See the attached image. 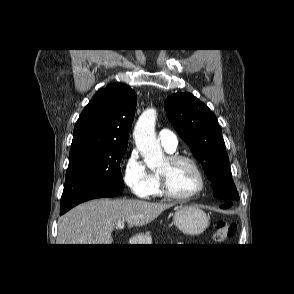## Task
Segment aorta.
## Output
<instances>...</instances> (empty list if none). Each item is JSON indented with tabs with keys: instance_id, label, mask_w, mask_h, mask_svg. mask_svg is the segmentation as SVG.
<instances>
[{
	"instance_id": "obj_1",
	"label": "aorta",
	"mask_w": 294,
	"mask_h": 294,
	"mask_svg": "<svg viewBox=\"0 0 294 294\" xmlns=\"http://www.w3.org/2000/svg\"><path fill=\"white\" fill-rule=\"evenodd\" d=\"M156 110L149 108L139 117L133 136L136 146L150 169L163 163V151L155 134Z\"/></svg>"
}]
</instances>
